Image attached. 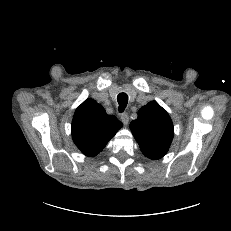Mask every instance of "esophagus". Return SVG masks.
<instances>
[{
	"label": "esophagus",
	"mask_w": 231,
	"mask_h": 231,
	"mask_svg": "<svg viewBox=\"0 0 231 231\" xmlns=\"http://www.w3.org/2000/svg\"><path fill=\"white\" fill-rule=\"evenodd\" d=\"M121 121H122V123H123L124 125H127V124H128V122H129V116H128L127 113H123V114L121 115Z\"/></svg>",
	"instance_id": "34e87169"
}]
</instances>
